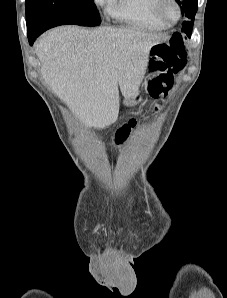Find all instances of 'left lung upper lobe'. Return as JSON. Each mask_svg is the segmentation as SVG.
<instances>
[{
  "instance_id": "obj_1",
  "label": "left lung upper lobe",
  "mask_w": 227,
  "mask_h": 298,
  "mask_svg": "<svg viewBox=\"0 0 227 298\" xmlns=\"http://www.w3.org/2000/svg\"><path fill=\"white\" fill-rule=\"evenodd\" d=\"M176 2L180 6L182 15L189 18L188 21H184L182 23L183 27L181 31L184 32L188 38H190L194 23V16L198 8V0H176Z\"/></svg>"
}]
</instances>
